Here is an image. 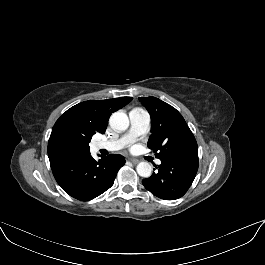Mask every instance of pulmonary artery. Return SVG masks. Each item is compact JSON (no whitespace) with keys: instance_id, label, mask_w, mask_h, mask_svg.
<instances>
[{"instance_id":"obj_1","label":"pulmonary artery","mask_w":265,"mask_h":265,"mask_svg":"<svg viewBox=\"0 0 265 265\" xmlns=\"http://www.w3.org/2000/svg\"><path fill=\"white\" fill-rule=\"evenodd\" d=\"M130 128L121 137L108 141H98L97 149H105L108 151H117L123 149L136 141L139 137L145 135L150 128V117L143 109L134 108L129 113ZM160 164L161 161L157 160Z\"/></svg>"}]
</instances>
